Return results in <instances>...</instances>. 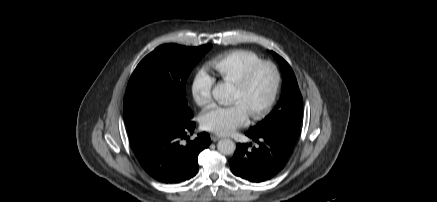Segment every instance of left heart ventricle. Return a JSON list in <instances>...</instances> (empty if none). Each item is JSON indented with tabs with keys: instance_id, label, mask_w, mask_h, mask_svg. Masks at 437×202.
<instances>
[{
	"instance_id": "b2bd125f",
	"label": "left heart ventricle",
	"mask_w": 437,
	"mask_h": 202,
	"mask_svg": "<svg viewBox=\"0 0 437 202\" xmlns=\"http://www.w3.org/2000/svg\"><path fill=\"white\" fill-rule=\"evenodd\" d=\"M273 84V71L271 68L264 66L255 73L248 87L241 89L234 86L232 102H241L250 115L268 100Z\"/></svg>"
}]
</instances>
